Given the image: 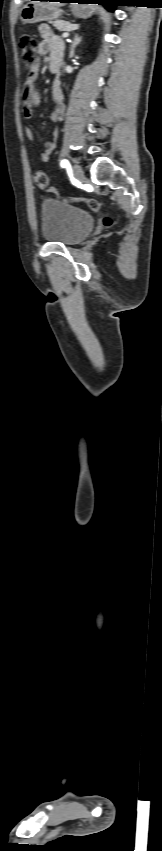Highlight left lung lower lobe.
Listing matches in <instances>:
<instances>
[{
	"label": "left lung lower lobe",
	"mask_w": 162,
	"mask_h": 851,
	"mask_svg": "<svg viewBox=\"0 0 162 851\" xmlns=\"http://www.w3.org/2000/svg\"><path fill=\"white\" fill-rule=\"evenodd\" d=\"M48 1V0H43ZM60 2H70V0H60ZM80 3L104 5L108 10H114L115 6H120L121 0H81Z\"/></svg>",
	"instance_id": "0a47b994"
}]
</instances>
